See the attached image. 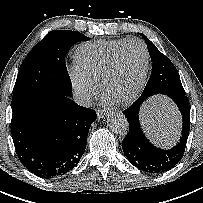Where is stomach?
<instances>
[{
	"label": "stomach",
	"instance_id": "1",
	"mask_svg": "<svg viewBox=\"0 0 203 203\" xmlns=\"http://www.w3.org/2000/svg\"><path fill=\"white\" fill-rule=\"evenodd\" d=\"M154 104V103H153ZM163 105H161V104H156L155 103V105H151V106H147L146 107V109L144 110V113H143V116H146L147 114H148V108L149 107H152L153 109H157V108H160V107H162Z\"/></svg>",
	"mask_w": 203,
	"mask_h": 203
}]
</instances>
